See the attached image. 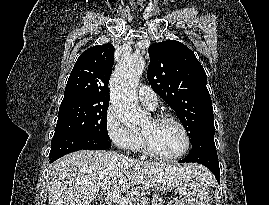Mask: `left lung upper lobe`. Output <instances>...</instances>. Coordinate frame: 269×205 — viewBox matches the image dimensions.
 <instances>
[{
  "mask_svg": "<svg viewBox=\"0 0 269 205\" xmlns=\"http://www.w3.org/2000/svg\"><path fill=\"white\" fill-rule=\"evenodd\" d=\"M148 53L151 87L174 109L191 142L215 131L206 73L194 52L178 41L166 40L152 44Z\"/></svg>",
  "mask_w": 269,
  "mask_h": 205,
  "instance_id": "obj_1",
  "label": "left lung upper lobe"
}]
</instances>
